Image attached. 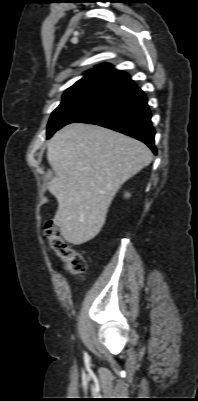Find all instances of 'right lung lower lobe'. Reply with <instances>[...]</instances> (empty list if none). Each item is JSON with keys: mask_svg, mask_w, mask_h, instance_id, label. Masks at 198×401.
I'll return each instance as SVG.
<instances>
[{"mask_svg": "<svg viewBox=\"0 0 198 401\" xmlns=\"http://www.w3.org/2000/svg\"><path fill=\"white\" fill-rule=\"evenodd\" d=\"M79 123H90L134 137L157 154L155 130L145 94L128 78L109 91L102 103Z\"/></svg>", "mask_w": 198, "mask_h": 401, "instance_id": "obj_1", "label": "right lung lower lobe"}]
</instances>
